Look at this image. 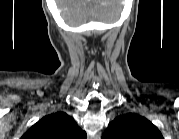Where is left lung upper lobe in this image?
<instances>
[{
    "label": "left lung upper lobe",
    "instance_id": "obj_1",
    "mask_svg": "<svg viewBox=\"0 0 179 139\" xmlns=\"http://www.w3.org/2000/svg\"><path fill=\"white\" fill-rule=\"evenodd\" d=\"M108 139H163L162 134L146 118L129 113L115 118L104 133Z\"/></svg>",
    "mask_w": 179,
    "mask_h": 139
}]
</instances>
